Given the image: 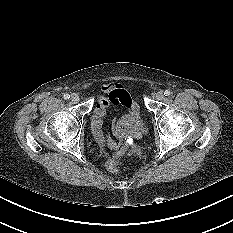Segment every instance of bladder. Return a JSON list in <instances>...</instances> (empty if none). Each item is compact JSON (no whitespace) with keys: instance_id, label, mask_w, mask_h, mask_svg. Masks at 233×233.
Here are the masks:
<instances>
[{"instance_id":"bladder-1","label":"bladder","mask_w":233,"mask_h":233,"mask_svg":"<svg viewBox=\"0 0 233 233\" xmlns=\"http://www.w3.org/2000/svg\"><path fill=\"white\" fill-rule=\"evenodd\" d=\"M115 130L121 135L136 136L146 132V125L139 115H123L115 124Z\"/></svg>"}]
</instances>
